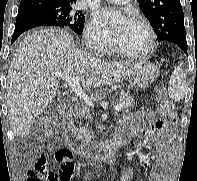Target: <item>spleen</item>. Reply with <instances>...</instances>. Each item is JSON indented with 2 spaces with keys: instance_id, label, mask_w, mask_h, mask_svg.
Instances as JSON below:
<instances>
[{
  "instance_id": "obj_1",
  "label": "spleen",
  "mask_w": 197,
  "mask_h": 181,
  "mask_svg": "<svg viewBox=\"0 0 197 181\" xmlns=\"http://www.w3.org/2000/svg\"><path fill=\"white\" fill-rule=\"evenodd\" d=\"M187 90L186 75L181 65L175 66L169 80L168 95L172 101H181Z\"/></svg>"
}]
</instances>
